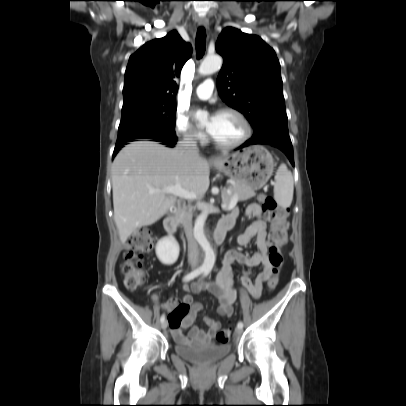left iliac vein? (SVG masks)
<instances>
[{
  "label": "left iliac vein",
  "mask_w": 406,
  "mask_h": 406,
  "mask_svg": "<svg viewBox=\"0 0 406 406\" xmlns=\"http://www.w3.org/2000/svg\"><path fill=\"white\" fill-rule=\"evenodd\" d=\"M235 333H236L237 335H240V334L242 333V328L237 327V328L235 329Z\"/></svg>",
  "instance_id": "4c4485c4"
}]
</instances>
